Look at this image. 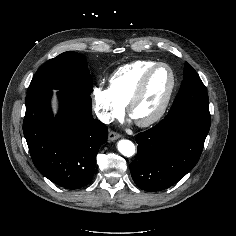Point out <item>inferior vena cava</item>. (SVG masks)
<instances>
[{
    "label": "inferior vena cava",
    "instance_id": "inferior-vena-cava-1",
    "mask_svg": "<svg viewBox=\"0 0 236 236\" xmlns=\"http://www.w3.org/2000/svg\"><path fill=\"white\" fill-rule=\"evenodd\" d=\"M96 112V115L98 117V119L100 121H102L103 123L105 124H109L111 122V118L108 114L104 113V112H99V111H95Z\"/></svg>",
    "mask_w": 236,
    "mask_h": 236
}]
</instances>
